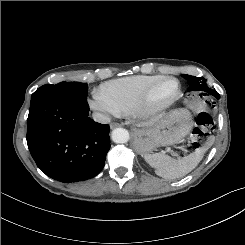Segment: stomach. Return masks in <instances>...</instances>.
I'll return each mask as SVG.
<instances>
[{"label": "stomach", "instance_id": "stomach-1", "mask_svg": "<svg viewBox=\"0 0 245 245\" xmlns=\"http://www.w3.org/2000/svg\"><path fill=\"white\" fill-rule=\"evenodd\" d=\"M192 126L187 110H174L149 127L135 129L134 147L138 153H150L158 147L176 144L189 134Z\"/></svg>", "mask_w": 245, "mask_h": 245}]
</instances>
